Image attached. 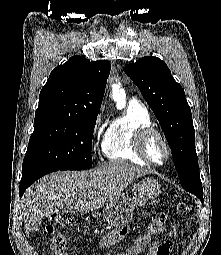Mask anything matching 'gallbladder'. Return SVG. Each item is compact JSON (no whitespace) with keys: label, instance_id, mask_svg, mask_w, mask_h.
Returning a JSON list of instances; mask_svg holds the SVG:
<instances>
[{"label":"gallbladder","instance_id":"bac80fb5","mask_svg":"<svg viewBox=\"0 0 221 255\" xmlns=\"http://www.w3.org/2000/svg\"><path fill=\"white\" fill-rule=\"evenodd\" d=\"M40 225H41V221L37 222L36 224L33 225L31 231L32 232H37L40 228Z\"/></svg>","mask_w":221,"mask_h":255}]
</instances>
